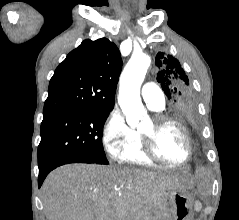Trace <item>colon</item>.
Here are the masks:
<instances>
[{
  "label": "colon",
  "instance_id": "5ec220e1",
  "mask_svg": "<svg viewBox=\"0 0 239 220\" xmlns=\"http://www.w3.org/2000/svg\"><path fill=\"white\" fill-rule=\"evenodd\" d=\"M185 219V215L180 216L178 220H184Z\"/></svg>",
  "mask_w": 239,
  "mask_h": 220
}]
</instances>
